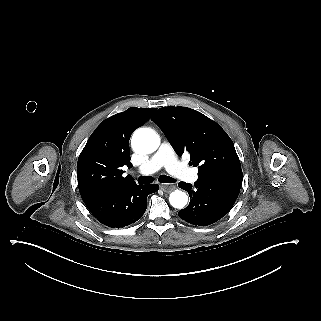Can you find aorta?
Listing matches in <instances>:
<instances>
[{
    "instance_id": "762f6f07",
    "label": "aorta",
    "mask_w": 321,
    "mask_h": 321,
    "mask_svg": "<svg viewBox=\"0 0 321 321\" xmlns=\"http://www.w3.org/2000/svg\"><path fill=\"white\" fill-rule=\"evenodd\" d=\"M132 148L141 154H150L157 150L160 145V137L152 129L140 128L137 129L131 139ZM188 196L181 190L173 191L169 196L170 204L177 209H182L186 206Z\"/></svg>"
}]
</instances>
